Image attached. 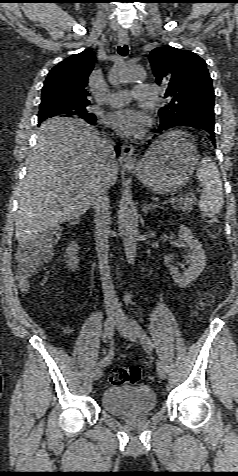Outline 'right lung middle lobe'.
Returning a JSON list of instances; mask_svg holds the SVG:
<instances>
[{
	"label": "right lung middle lobe",
	"instance_id": "dd1d6c3e",
	"mask_svg": "<svg viewBox=\"0 0 238 476\" xmlns=\"http://www.w3.org/2000/svg\"><path fill=\"white\" fill-rule=\"evenodd\" d=\"M56 115L77 116L89 123L96 121L95 115L88 112L87 105L73 106L55 101L41 102L39 107V122Z\"/></svg>",
	"mask_w": 238,
	"mask_h": 476
}]
</instances>
